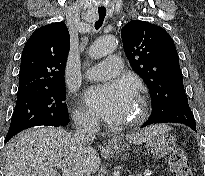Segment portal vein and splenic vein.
I'll return each instance as SVG.
<instances>
[{
  "mask_svg": "<svg viewBox=\"0 0 205 176\" xmlns=\"http://www.w3.org/2000/svg\"><path fill=\"white\" fill-rule=\"evenodd\" d=\"M61 170L63 172V176H83L77 172L71 171V170L66 169V168H62Z\"/></svg>",
  "mask_w": 205,
  "mask_h": 176,
  "instance_id": "obj_1",
  "label": "portal vein and splenic vein"
}]
</instances>
